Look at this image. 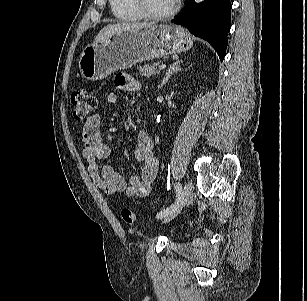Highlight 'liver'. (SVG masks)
I'll use <instances>...</instances> for the list:
<instances>
[{
  "label": "liver",
  "instance_id": "obj_1",
  "mask_svg": "<svg viewBox=\"0 0 307 301\" xmlns=\"http://www.w3.org/2000/svg\"><path fill=\"white\" fill-rule=\"evenodd\" d=\"M154 23H117V24H109L105 26L95 38V42H101L108 38L110 35L114 34L115 32L122 31V30H136L141 29L149 26H153Z\"/></svg>",
  "mask_w": 307,
  "mask_h": 301
}]
</instances>
